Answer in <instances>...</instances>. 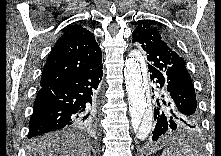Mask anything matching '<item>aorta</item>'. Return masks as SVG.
Returning a JSON list of instances; mask_svg holds the SVG:
<instances>
[{
  "mask_svg": "<svg viewBox=\"0 0 221 156\" xmlns=\"http://www.w3.org/2000/svg\"><path fill=\"white\" fill-rule=\"evenodd\" d=\"M124 75L132 127L139 139L144 140L152 128L153 113L148 92L147 69L140 51L130 52L125 61Z\"/></svg>",
  "mask_w": 221,
  "mask_h": 156,
  "instance_id": "aorta-1",
  "label": "aorta"
}]
</instances>
